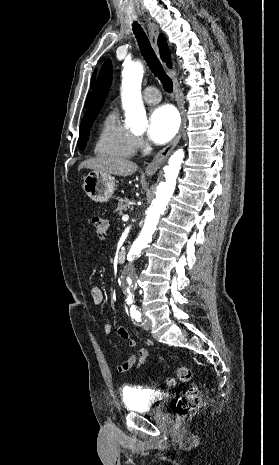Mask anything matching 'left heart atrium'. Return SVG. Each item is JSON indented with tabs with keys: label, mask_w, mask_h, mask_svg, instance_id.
<instances>
[{
	"label": "left heart atrium",
	"mask_w": 279,
	"mask_h": 465,
	"mask_svg": "<svg viewBox=\"0 0 279 465\" xmlns=\"http://www.w3.org/2000/svg\"><path fill=\"white\" fill-rule=\"evenodd\" d=\"M179 127V118L173 107L162 105L155 108L148 120L147 136L156 144L170 141Z\"/></svg>",
	"instance_id": "39dd6f15"
}]
</instances>
